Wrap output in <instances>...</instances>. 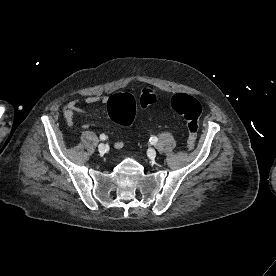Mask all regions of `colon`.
<instances>
[{
	"label": "colon",
	"instance_id": "5ec220e1",
	"mask_svg": "<svg viewBox=\"0 0 276 276\" xmlns=\"http://www.w3.org/2000/svg\"><path fill=\"white\" fill-rule=\"evenodd\" d=\"M155 100L156 94L150 88L141 90L138 101L130 93H118L111 96L107 102L108 115L114 122L130 126L135 119L137 103L145 108L153 104ZM171 107L174 112L187 121L188 139L186 147L189 151L194 150L199 118L202 113L200 102L185 93H177L172 97Z\"/></svg>",
	"mask_w": 276,
	"mask_h": 276
}]
</instances>
